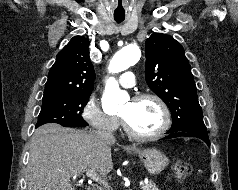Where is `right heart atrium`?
<instances>
[{"label":"right heart atrium","instance_id":"1","mask_svg":"<svg viewBox=\"0 0 238 190\" xmlns=\"http://www.w3.org/2000/svg\"><path fill=\"white\" fill-rule=\"evenodd\" d=\"M82 117L90 126L104 132H115L120 125L118 117L105 113L94 96L85 103Z\"/></svg>","mask_w":238,"mask_h":190}]
</instances>
